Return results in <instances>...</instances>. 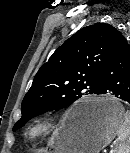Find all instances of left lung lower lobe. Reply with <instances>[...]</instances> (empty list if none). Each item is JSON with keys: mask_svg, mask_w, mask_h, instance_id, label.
I'll return each mask as SVG.
<instances>
[{"mask_svg": "<svg viewBox=\"0 0 130 153\" xmlns=\"http://www.w3.org/2000/svg\"><path fill=\"white\" fill-rule=\"evenodd\" d=\"M97 94H112L130 103V47L124 37L117 44L102 71ZM92 113V108H80L76 110L75 118L83 120Z\"/></svg>", "mask_w": 130, "mask_h": 153, "instance_id": "left-lung-lower-lobe-1", "label": "left lung lower lobe"}]
</instances>
